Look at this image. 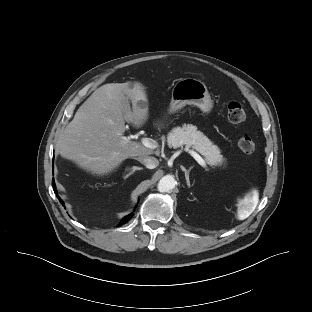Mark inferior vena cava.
<instances>
[{"instance_id": "1", "label": "inferior vena cava", "mask_w": 312, "mask_h": 312, "mask_svg": "<svg viewBox=\"0 0 312 312\" xmlns=\"http://www.w3.org/2000/svg\"><path fill=\"white\" fill-rule=\"evenodd\" d=\"M137 160L146 166L148 169H154L159 165V161L155 157L139 156Z\"/></svg>"}]
</instances>
